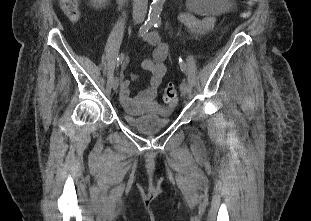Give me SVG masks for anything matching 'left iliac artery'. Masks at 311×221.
Wrapping results in <instances>:
<instances>
[{
    "label": "left iliac artery",
    "mask_w": 311,
    "mask_h": 221,
    "mask_svg": "<svg viewBox=\"0 0 311 221\" xmlns=\"http://www.w3.org/2000/svg\"><path fill=\"white\" fill-rule=\"evenodd\" d=\"M160 25H161V19H155L153 26L158 28V27H160ZM179 65H180L181 70L185 73L186 72V65L181 58H179Z\"/></svg>",
    "instance_id": "1"
}]
</instances>
